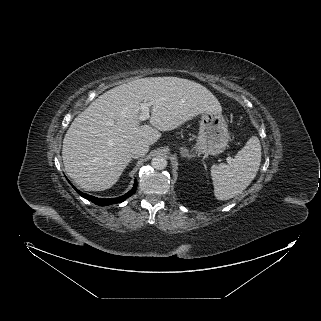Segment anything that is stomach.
I'll use <instances>...</instances> for the list:
<instances>
[{
  "label": "stomach",
  "instance_id": "stomach-1",
  "mask_svg": "<svg viewBox=\"0 0 321 321\" xmlns=\"http://www.w3.org/2000/svg\"><path fill=\"white\" fill-rule=\"evenodd\" d=\"M228 141L227 123L221 112H204L199 123L196 151L204 155H217L226 149Z\"/></svg>",
  "mask_w": 321,
  "mask_h": 321
}]
</instances>
